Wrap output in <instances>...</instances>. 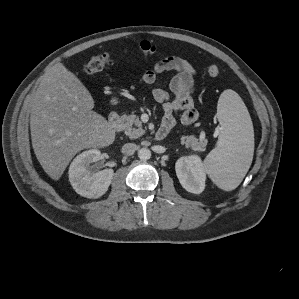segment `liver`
Returning <instances> with one entry per match:
<instances>
[{
  "label": "liver",
  "instance_id": "obj_1",
  "mask_svg": "<svg viewBox=\"0 0 299 299\" xmlns=\"http://www.w3.org/2000/svg\"><path fill=\"white\" fill-rule=\"evenodd\" d=\"M93 108L89 91L62 63L45 73L32 101L30 129L36 158L53 180L79 151L114 142L113 126Z\"/></svg>",
  "mask_w": 299,
  "mask_h": 299
}]
</instances>
